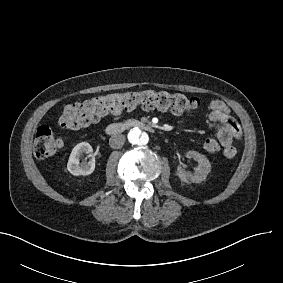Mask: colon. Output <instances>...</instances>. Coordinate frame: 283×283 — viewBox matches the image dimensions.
<instances>
[{"instance_id":"5ec220e1","label":"colon","mask_w":283,"mask_h":283,"mask_svg":"<svg viewBox=\"0 0 283 283\" xmlns=\"http://www.w3.org/2000/svg\"><path fill=\"white\" fill-rule=\"evenodd\" d=\"M137 106L146 109H171L177 112L192 111L198 108L199 99L178 92L143 90L111 93L90 98L84 102L66 104L59 118V126L64 129H80L98 121L106 115H119ZM65 141L58 137L49 127L37 130L33 151L37 158L43 159L64 148ZM203 149L207 153L221 150L220 143L213 138H206Z\"/></svg>"}]
</instances>
